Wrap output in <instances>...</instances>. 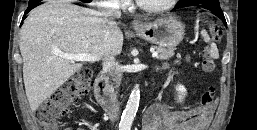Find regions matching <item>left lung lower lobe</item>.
Segmentation results:
<instances>
[{
    "label": "left lung lower lobe",
    "mask_w": 257,
    "mask_h": 130,
    "mask_svg": "<svg viewBox=\"0 0 257 130\" xmlns=\"http://www.w3.org/2000/svg\"><path fill=\"white\" fill-rule=\"evenodd\" d=\"M200 4L205 5V7H204L205 9L213 12V14H215L219 18H221L226 24V20H225L224 14L220 8L219 1H217V0H202L200 2ZM176 8H179V7L176 6L174 9H176Z\"/></svg>",
    "instance_id": "left-lung-lower-lobe-1"
}]
</instances>
